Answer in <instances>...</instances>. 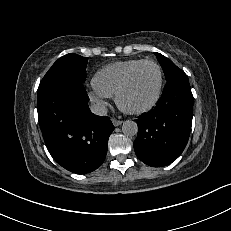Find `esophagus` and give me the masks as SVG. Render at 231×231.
<instances>
[{
  "mask_svg": "<svg viewBox=\"0 0 231 231\" xmlns=\"http://www.w3.org/2000/svg\"><path fill=\"white\" fill-rule=\"evenodd\" d=\"M112 123H113V125H114L115 127H117V126H119V125L122 124V121H121V120H118V119H116V118H113V119H112Z\"/></svg>",
  "mask_w": 231,
  "mask_h": 231,
  "instance_id": "obj_1",
  "label": "esophagus"
}]
</instances>
